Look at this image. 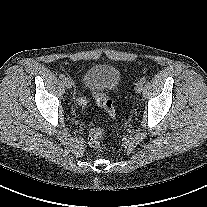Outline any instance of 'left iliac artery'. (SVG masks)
Returning <instances> with one entry per match:
<instances>
[{"instance_id": "obj_1", "label": "left iliac artery", "mask_w": 207, "mask_h": 207, "mask_svg": "<svg viewBox=\"0 0 207 207\" xmlns=\"http://www.w3.org/2000/svg\"><path fill=\"white\" fill-rule=\"evenodd\" d=\"M146 80H147V79H146L145 77H142V78H141V81H142L143 83H145Z\"/></svg>"}]
</instances>
